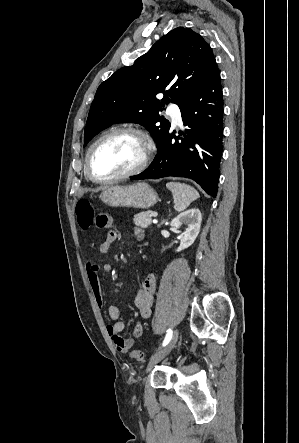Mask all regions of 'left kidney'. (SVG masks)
<instances>
[{"label":"left kidney","mask_w":299,"mask_h":443,"mask_svg":"<svg viewBox=\"0 0 299 443\" xmlns=\"http://www.w3.org/2000/svg\"><path fill=\"white\" fill-rule=\"evenodd\" d=\"M201 221L202 214L196 208L180 213L171 221V226L176 230H179L183 224L186 226L184 232L179 231L180 246L177 248V252L188 248L194 243L200 232Z\"/></svg>","instance_id":"1"}]
</instances>
